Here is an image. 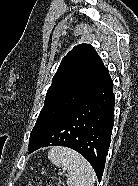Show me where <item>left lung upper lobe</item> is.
Returning <instances> with one entry per match:
<instances>
[{"label":"left lung upper lobe","mask_w":138,"mask_h":186,"mask_svg":"<svg viewBox=\"0 0 138 186\" xmlns=\"http://www.w3.org/2000/svg\"><path fill=\"white\" fill-rule=\"evenodd\" d=\"M109 77L91 45L75 46L61 61L47 91L45 104L31 131L29 145L72 110Z\"/></svg>","instance_id":"obj_1"}]
</instances>
